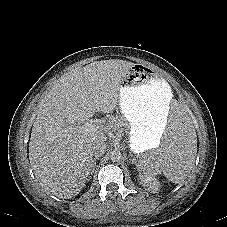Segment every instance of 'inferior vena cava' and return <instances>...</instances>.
<instances>
[{"mask_svg": "<svg viewBox=\"0 0 227 227\" xmlns=\"http://www.w3.org/2000/svg\"><path fill=\"white\" fill-rule=\"evenodd\" d=\"M106 150V143L104 141L96 142L92 147V155L96 158L101 157Z\"/></svg>", "mask_w": 227, "mask_h": 227, "instance_id": "1", "label": "inferior vena cava"}]
</instances>
